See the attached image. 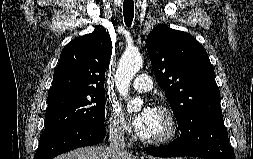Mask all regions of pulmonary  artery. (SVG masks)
I'll return each mask as SVG.
<instances>
[{
	"instance_id": "e3ab8cb5",
	"label": "pulmonary artery",
	"mask_w": 253,
	"mask_h": 159,
	"mask_svg": "<svg viewBox=\"0 0 253 159\" xmlns=\"http://www.w3.org/2000/svg\"><path fill=\"white\" fill-rule=\"evenodd\" d=\"M132 87L138 92H148L152 89L153 84L147 74H140L134 79Z\"/></svg>"
}]
</instances>
